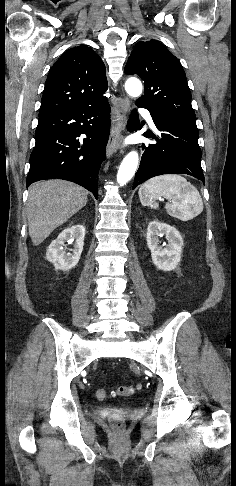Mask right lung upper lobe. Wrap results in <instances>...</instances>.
I'll list each match as a JSON object with an SVG mask.
<instances>
[{
  "instance_id": "right-lung-upper-lobe-1",
  "label": "right lung upper lobe",
  "mask_w": 236,
  "mask_h": 486,
  "mask_svg": "<svg viewBox=\"0 0 236 486\" xmlns=\"http://www.w3.org/2000/svg\"><path fill=\"white\" fill-rule=\"evenodd\" d=\"M107 88L101 58L86 45L70 48L48 73L39 117L106 101Z\"/></svg>"
}]
</instances>
